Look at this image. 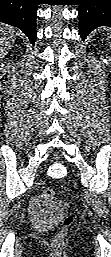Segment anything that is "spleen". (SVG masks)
<instances>
[{"label": "spleen", "instance_id": "spleen-1", "mask_svg": "<svg viewBox=\"0 0 111 257\" xmlns=\"http://www.w3.org/2000/svg\"><path fill=\"white\" fill-rule=\"evenodd\" d=\"M107 35H108V39L111 40V31H108Z\"/></svg>", "mask_w": 111, "mask_h": 257}]
</instances>
